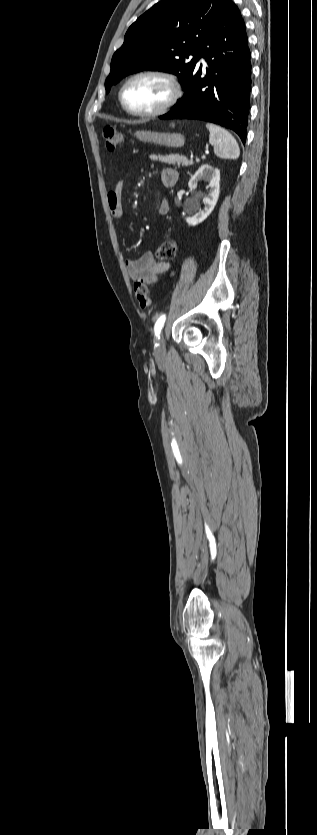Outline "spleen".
I'll list each match as a JSON object with an SVG mask.
<instances>
[{
  "label": "spleen",
  "instance_id": "obj_1",
  "mask_svg": "<svg viewBox=\"0 0 317 835\" xmlns=\"http://www.w3.org/2000/svg\"><path fill=\"white\" fill-rule=\"evenodd\" d=\"M209 143L214 147V153L220 158L237 159L240 155L239 146L235 138L226 129L207 123Z\"/></svg>",
  "mask_w": 317,
  "mask_h": 835
}]
</instances>
